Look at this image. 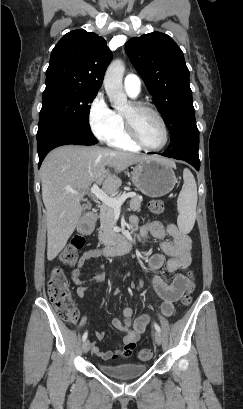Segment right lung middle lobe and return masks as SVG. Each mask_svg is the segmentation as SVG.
I'll return each instance as SVG.
<instances>
[{"label": "right lung middle lobe", "mask_w": 243, "mask_h": 409, "mask_svg": "<svg viewBox=\"0 0 243 409\" xmlns=\"http://www.w3.org/2000/svg\"><path fill=\"white\" fill-rule=\"evenodd\" d=\"M97 92L62 81H46L38 130L52 124L90 130V103Z\"/></svg>", "instance_id": "obj_1"}]
</instances>
